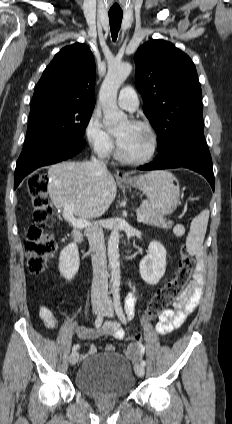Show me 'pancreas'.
Returning a JSON list of instances; mask_svg holds the SVG:
<instances>
[{"mask_svg":"<svg viewBox=\"0 0 232 424\" xmlns=\"http://www.w3.org/2000/svg\"><path fill=\"white\" fill-rule=\"evenodd\" d=\"M138 212L144 215V220L142 221L144 224L155 225L163 229H169L173 225L171 220L167 221L163 215L154 210L149 204H141Z\"/></svg>","mask_w":232,"mask_h":424,"instance_id":"obj_1","label":"pancreas"}]
</instances>
